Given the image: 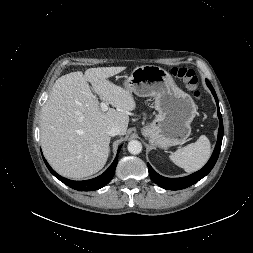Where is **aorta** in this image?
<instances>
[{
	"label": "aorta",
	"mask_w": 253,
	"mask_h": 253,
	"mask_svg": "<svg viewBox=\"0 0 253 253\" xmlns=\"http://www.w3.org/2000/svg\"><path fill=\"white\" fill-rule=\"evenodd\" d=\"M128 151L131 153V154H139L141 151H142V144L140 141L138 140H131L129 143H128Z\"/></svg>",
	"instance_id": "aorta-1"
}]
</instances>
